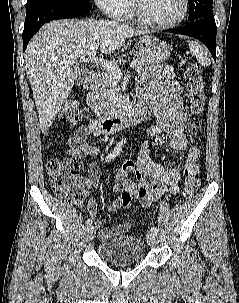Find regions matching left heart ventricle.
<instances>
[{"instance_id": "obj_1", "label": "left heart ventricle", "mask_w": 239, "mask_h": 303, "mask_svg": "<svg viewBox=\"0 0 239 303\" xmlns=\"http://www.w3.org/2000/svg\"><path fill=\"white\" fill-rule=\"evenodd\" d=\"M146 16L152 22L167 23L182 13V0H138Z\"/></svg>"}]
</instances>
